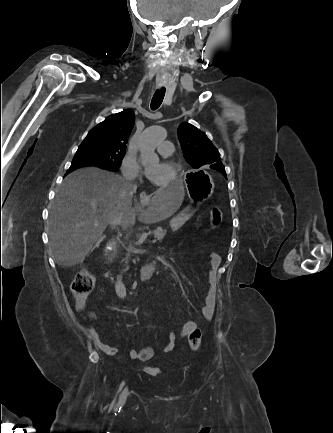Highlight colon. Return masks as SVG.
I'll list each match as a JSON object with an SVG mask.
<instances>
[{
	"label": "colon",
	"mask_w": 333,
	"mask_h": 433,
	"mask_svg": "<svg viewBox=\"0 0 333 433\" xmlns=\"http://www.w3.org/2000/svg\"><path fill=\"white\" fill-rule=\"evenodd\" d=\"M210 222L213 227H217L222 221V210L215 206L210 210ZM95 285L94 276L87 270L80 272L74 279L71 290L77 300L79 310L84 309V301L92 292ZM202 334L199 328L194 329L189 335V344L192 350L197 351L201 346ZM145 372L149 375L156 376L161 374V369L156 366H146Z\"/></svg>",
	"instance_id": "obj_1"
}]
</instances>
